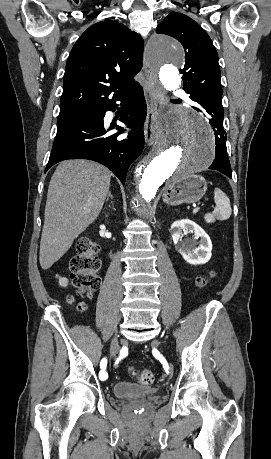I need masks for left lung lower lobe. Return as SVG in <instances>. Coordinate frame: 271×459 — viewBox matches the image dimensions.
<instances>
[{
    "label": "left lung lower lobe",
    "instance_id": "obj_1",
    "mask_svg": "<svg viewBox=\"0 0 271 459\" xmlns=\"http://www.w3.org/2000/svg\"><path fill=\"white\" fill-rule=\"evenodd\" d=\"M190 99L199 103L202 106L204 112L209 117V123L213 127V130L215 132V160L213 161L209 169L218 170L221 173L227 175L229 178H232L231 166L227 156L226 149L227 135L223 129L224 112L210 108L206 105L208 100L207 93H202L197 96H190ZM196 110L202 112V110Z\"/></svg>",
    "mask_w": 271,
    "mask_h": 459
}]
</instances>
